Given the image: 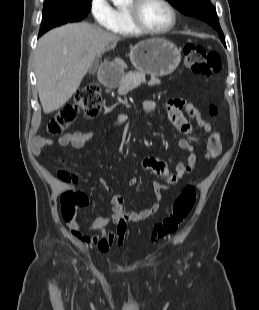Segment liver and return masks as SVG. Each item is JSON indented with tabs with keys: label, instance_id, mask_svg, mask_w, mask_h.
<instances>
[{
	"label": "liver",
	"instance_id": "liver-1",
	"mask_svg": "<svg viewBox=\"0 0 259 310\" xmlns=\"http://www.w3.org/2000/svg\"><path fill=\"white\" fill-rule=\"evenodd\" d=\"M120 37L88 23L67 24L42 36L35 51V74L44 113L61 108L79 88L82 79L105 49ZM120 67H126L120 58Z\"/></svg>",
	"mask_w": 259,
	"mask_h": 310
}]
</instances>
